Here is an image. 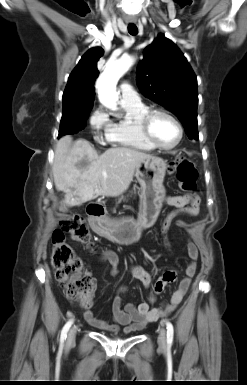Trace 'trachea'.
Returning <instances> with one entry per match:
<instances>
[{
	"instance_id": "1",
	"label": "trachea",
	"mask_w": 247,
	"mask_h": 385,
	"mask_svg": "<svg viewBox=\"0 0 247 385\" xmlns=\"http://www.w3.org/2000/svg\"><path fill=\"white\" fill-rule=\"evenodd\" d=\"M128 32L131 34V35H137L138 33V28L135 24H129L128 25Z\"/></svg>"
}]
</instances>
